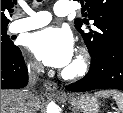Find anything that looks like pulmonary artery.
I'll list each match as a JSON object with an SVG mask.
<instances>
[{
	"mask_svg": "<svg viewBox=\"0 0 123 113\" xmlns=\"http://www.w3.org/2000/svg\"><path fill=\"white\" fill-rule=\"evenodd\" d=\"M57 16H66L72 11L71 2L58 1L53 7ZM26 17L14 21L11 25V31L14 33L30 31L45 26L51 21V14L47 11H34L29 7L24 8Z\"/></svg>",
	"mask_w": 123,
	"mask_h": 113,
	"instance_id": "e3ab8cb5",
	"label": "pulmonary artery"
}]
</instances>
